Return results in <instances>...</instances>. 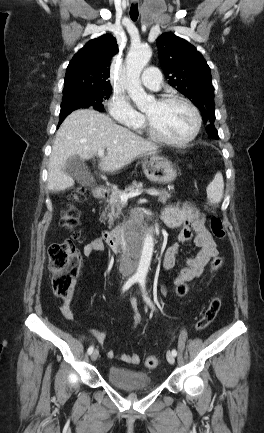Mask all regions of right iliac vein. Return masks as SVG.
Instances as JSON below:
<instances>
[{"label": "right iliac vein", "instance_id": "right-iliac-vein-1", "mask_svg": "<svg viewBox=\"0 0 264 433\" xmlns=\"http://www.w3.org/2000/svg\"><path fill=\"white\" fill-rule=\"evenodd\" d=\"M99 355V351L98 349H95L92 353H91V360L92 361H96Z\"/></svg>", "mask_w": 264, "mask_h": 433}]
</instances>
